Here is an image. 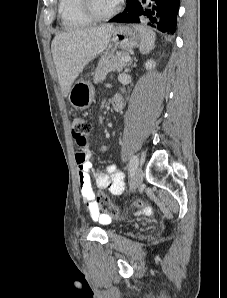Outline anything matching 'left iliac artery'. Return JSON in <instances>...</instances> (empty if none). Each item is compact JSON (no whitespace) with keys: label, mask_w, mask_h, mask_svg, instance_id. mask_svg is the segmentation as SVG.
I'll return each mask as SVG.
<instances>
[{"label":"left iliac artery","mask_w":227,"mask_h":298,"mask_svg":"<svg viewBox=\"0 0 227 298\" xmlns=\"http://www.w3.org/2000/svg\"><path fill=\"white\" fill-rule=\"evenodd\" d=\"M138 166V158L137 156H132L129 162L130 170H135Z\"/></svg>","instance_id":"44dca946"}]
</instances>
